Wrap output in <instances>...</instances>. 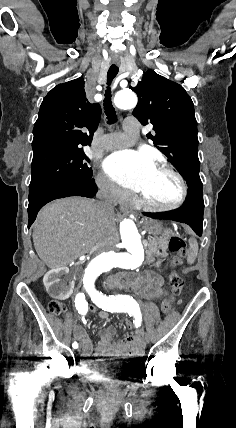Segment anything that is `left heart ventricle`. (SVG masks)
I'll return each mask as SVG.
<instances>
[{
  "label": "left heart ventricle",
  "mask_w": 236,
  "mask_h": 428,
  "mask_svg": "<svg viewBox=\"0 0 236 428\" xmlns=\"http://www.w3.org/2000/svg\"><path fill=\"white\" fill-rule=\"evenodd\" d=\"M179 193L180 186L177 180L162 169H154L145 179L140 191V194L148 200L162 205L173 203Z\"/></svg>",
  "instance_id": "obj_1"
}]
</instances>
